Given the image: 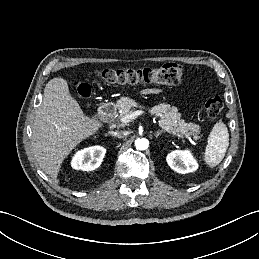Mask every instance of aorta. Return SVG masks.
<instances>
[{
	"label": "aorta",
	"instance_id": "762f6f07",
	"mask_svg": "<svg viewBox=\"0 0 259 259\" xmlns=\"http://www.w3.org/2000/svg\"><path fill=\"white\" fill-rule=\"evenodd\" d=\"M149 146V141L146 138H138L135 141V147L138 150H146Z\"/></svg>",
	"mask_w": 259,
	"mask_h": 259
}]
</instances>
